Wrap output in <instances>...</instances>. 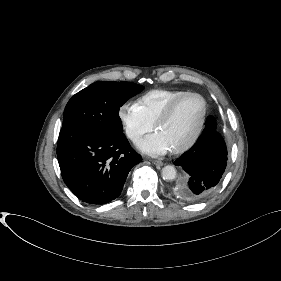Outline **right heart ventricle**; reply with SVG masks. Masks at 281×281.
<instances>
[{
	"label": "right heart ventricle",
	"instance_id": "1",
	"mask_svg": "<svg viewBox=\"0 0 281 281\" xmlns=\"http://www.w3.org/2000/svg\"><path fill=\"white\" fill-rule=\"evenodd\" d=\"M186 93L183 90L154 89L142 94L137 99V104L146 118L154 124L162 110L175 98Z\"/></svg>",
	"mask_w": 281,
	"mask_h": 281
}]
</instances>
